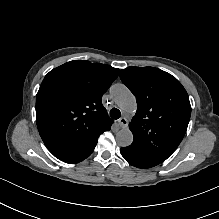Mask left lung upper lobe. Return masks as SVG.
Wrapping results in <instances>:
<instances>
[{
  "label": "left lung upper lobe",
  "mask_w": 219,
  "mask_h": 219,
  "mask_svg": "<svg viewBox=\"0 0 219 219\" xmlns=\"http://www.w3.org/2000/svg\"><path fill=\"white\" fill-rule=\"evenodd\" d=\"M120 78L138 105L129 123L131 145L165 161L188 127L191 105L186 90L174 76L154 67H128L120 71Z\"/></svg>",
  "instance_id": "1"
}]
</instances>
